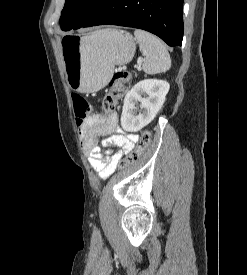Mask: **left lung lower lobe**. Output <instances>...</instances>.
Instances as JSON below:
<instances>
[{
  "label": "left lung lower lobe",
  "instance_id": "left-lung-lower-lobe-1",
  "mask_svg": "<svg viewBox=\"0 0 247 275\" xmlns=\"http://www.w3.org/2000/svg\"><path fill=\"white\" fill-rule=\"evenodd\" d=\"M182 10L183 0H105L81 27L113 24L139 28L157 35L169 46H181Z\"/></svg>",
  "mask_w": 247,
  "mask_h": 275
}]
</instances>
